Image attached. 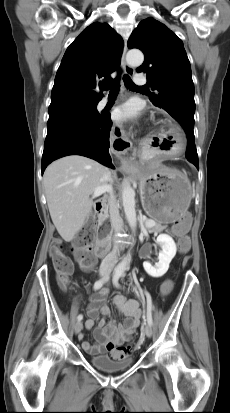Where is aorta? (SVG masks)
<instances>
[{
	"label": "aorta",
	"instance_id": "762f6f07",
	"mask_svg": "<svg viewBox=\"0 0 230 413\" xmlns=\"http://www.w3.org/2000/svg\"><path fill=\"white\" fill-rule=\"evenodd\" d=\"M144 56L140 50L133 49L130 50L126 55L127 63L132 67L140 66L143 63ZM122 204L126 219L130 228L135 231L137 227V218L135 210V191L131 185L125 181L122 188ZM130 255L127 256L119 265L120 269H125L130 262Z\"/></svg>",
	"mask_w": 230,
	"mask_h": 413
}]
</instances>
